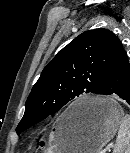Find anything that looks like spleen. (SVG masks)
<instances>
[{"mask_svg": "<svg viewBox=\"0 0 130 153\" xmlns=\"http://www.w3.org/2000/svg\"><path fill=\"white\" fill-rule=\"evenodd\" d=\"M113 153H130V115L123 116Z\"/></svg>", "mask_w": 130, "mask_h": 153, "instance_id": "spleen-1", "label": "spleen"}]
</instances>
